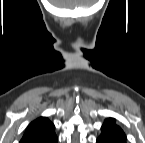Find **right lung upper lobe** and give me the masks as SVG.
<instances>
[{"label": "right lung upper lobe", "mask_w": 145, "mask_h": 143, "mask_svg": "<svg viewBox=\"0 0 145 143\" xmlns=\"http://www.w3.org/2000/svg\"><path fill=\"white\" fill-rule=\"evenodd\" d=\"M55 127L49 119L40 117L27 127L21 143H56Z\"/></svg>", "instance_id": "1"}]
</instances>
